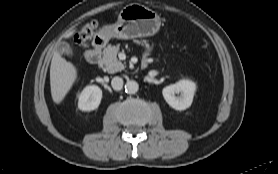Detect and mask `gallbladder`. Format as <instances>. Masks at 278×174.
Instances as JSON below:
<instances>
[{
    "label": "gallbladder",
    "instance_id": "gallbladder-1",
    "mask_svg": "<svg viewBox=\"0 0 278 174\" xmlns=\"http://www.w3.org/2000/svg\"><path fill=\"white\" fill-rule=\"evenodd\" d=\"M56 50L59 54L72 56L73 55V49L71 48L70 44L67 42H61L57 45Z\"/></svg>",
    "mask_w": 278,
    "mask_h": 174
}]
</instances>
